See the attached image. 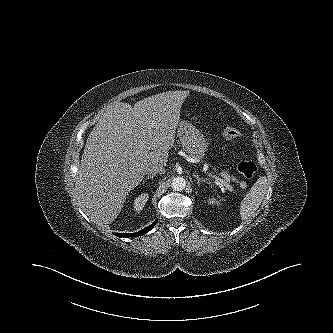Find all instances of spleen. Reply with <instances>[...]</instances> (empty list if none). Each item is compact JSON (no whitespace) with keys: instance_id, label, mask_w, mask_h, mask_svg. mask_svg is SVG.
<instances>
[{"instance_id":"1","label":"spleen","mask_w":333,"mask_h":333,"mask_svg":"<svg viewBox=\"0 0 333 333\" xmlns=\"http://www.w3.org/2000/svg\"><path fill=\"white\" fill-rule=\"evenodd\" d=\"M268 187L269 182L265 176H261L257 179L249 193L240 203V216L242 221L250 220L255 216V212L261 205Z\"/></svg>"}]
</instances>
